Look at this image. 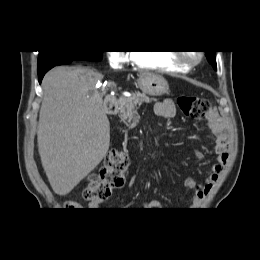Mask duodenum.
<instances>
[{
    "label": "duodenum",
    "mask_w": 260,
    "mask_h": 260,
    "mask_svg": "<svg viewBox=\"0 0 260 260\" xmlns=\"http://www.w3.org/2000/svg\"><path fill=\"white\" fill-rule=\"evenodd\" d=\"M105 110L108 114L115 115L118 109L117 105L113 101L107 100L105 102Z\"/></svg>",
    "instance_id": "410a0bca"
}]
</instances>
